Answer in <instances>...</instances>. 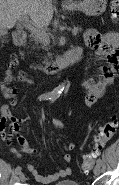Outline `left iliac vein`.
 Returning <instances> with one entry per match:
<instances>
[{
	"mask_svg": "<svg viewBox=\"0 0 119 185\" xmlns=\"http://www.w3.org/2000/svg\"><path fill=\"white\" fill-rule=\"evenodd\" d=\"M101 173V165L96 164L94 167V174L95 176H98Z\"/></svg>",
	"mask_w": 119,
	"mask_h": 185,
	"instance_id": "4c4485c4",
	"label": "left iliac vein"
}]
</instances>
